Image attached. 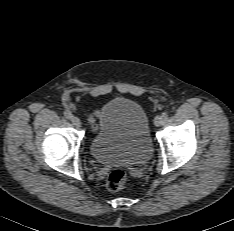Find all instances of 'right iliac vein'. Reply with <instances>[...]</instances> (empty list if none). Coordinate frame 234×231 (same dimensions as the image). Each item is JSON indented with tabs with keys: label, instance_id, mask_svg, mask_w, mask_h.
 <instances>
[{
	"label": "right iliac vein",
	"instance_id": "right-iliac-vein-1",
	"mask_svg": "<svg viewBox=\"0 0 234 231\" xmlns=\"http://www.w3.org/2000/svg\"><path fill=\"white\" fill-rule=\"evenodd\" d=\"M70 120L75 127L79 128L81 126V121L78 117L72 116Z\"/></svg>",
	"mask_w": 234,
	"mask_h": 231
}]
</instances>
